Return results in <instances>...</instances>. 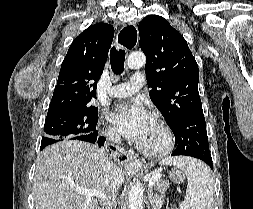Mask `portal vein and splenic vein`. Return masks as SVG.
Here are the masks:
<instances>
[{
	"mask_svg": "<svg viewBox=\"0 0 253 209\" xmlns=\"http://www.w3.org/2000/svg\"><path fill=\"white\" fill-rule=\"evenodd\" d=\"M160 178H161L160 174H156V175L152 176V178L149 180V187H152ZM75 192L85 195L89 198L98 197V198H102V199L108 201V197L105 194H103L102 192L97 191V190H89V189L78 187L75 189Z\"/></svg>",
	"mask_w": 253,
	"mask_h": 209,
	"instance_id": "18ae733b",
	"label": "portal vein and splenic vein"
}]
</instances>
